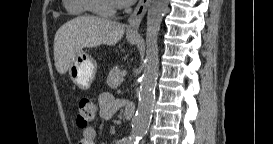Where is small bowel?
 I'll use <instances>...</instances> for the list:
<instances>
[{
    "label": "small bowel",
    "mask_w": 273,
    "mask_h": 144,
    "mask_svg": "<svg viewBox=\"0 0 273 144\" xmlns=\"http://www.w3.org/2000/svg\"><path fill=\"white\" fill-rule=\"evenodd\" d=\"M99 114L103 120H110L122 107L120 100L115 99L110 93L103 92L98 97ZM97 131L94 127H87L82 131L78 144H95Z\"/></svg>",
    "instance_id": "c3829d8e"
}]
</instances>
